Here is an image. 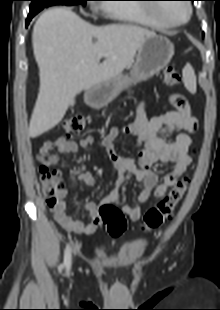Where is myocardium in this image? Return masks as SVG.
I'll use <instances>...</instances> for the list:
<instances>
[{"label":"myocardium","mask_w":220,"mask_h":310,"mask_svg":"<svg viewBox=\"0 0 220 310\" xmlns=\"http://www.w3.org/2000/svg\"><path fill=\"white\" fill-rule=\"evenodd\" d=\"M184 6L186 7L187 9V16L185 19L181 20V21H172L168 18H165L163 16H161L159 13H158V9H154V8H150L149 9V12L150 14L157 20L161 21L162 23H164L166 26L168 27H178V26H182L184 25L185 23H187L191 17V14H192V8H191V5L190 4H184Z\"/></svg>","instance_id":"f54148a6"}]
</instances>
